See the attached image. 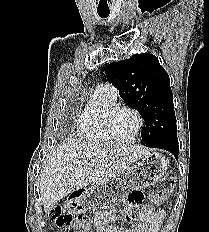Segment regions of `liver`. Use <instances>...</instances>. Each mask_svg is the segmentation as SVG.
Instances as JSON below:
<instances>
[{
	"label": "liver",
	"mask_w": 209,
	"mask_h": 232,
	"mask_svg": "<svg viewBox=\"0 0 209 232\" xmlns=\"http://www.w3.org/2000/svg\"><path fill=\"white\" fill-rule=\"evenodd\" d=\"M148 154V150L138 145H103L68 140L53 152L42 170L40 196L44 211L50 212L74 189H81L89 183L107 184Z\"/></svg>",
	"instance_id": "6515ba94"
}]
</instances>
